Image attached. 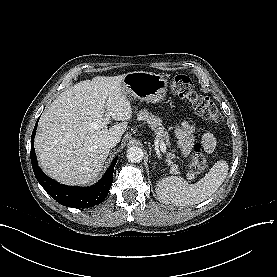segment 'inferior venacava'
<instances>
[{
	"label": "inferior vena cava",
	"mask_w": 277,
	"mask_h": 277,
	"mask_svg": "<svg viewBox=\"0 0 277 277\" xmlns=\"http://www.w3.org/2000/svg\"><path fill=\"white\" fill-rule=\"evenodd\" d=\"M118 142L119 140L117 139V137L109 136L105 141V146L110 149L115 147Z\"/></svg>",
	"instance_id": "obj_1"
}]
</instances>
